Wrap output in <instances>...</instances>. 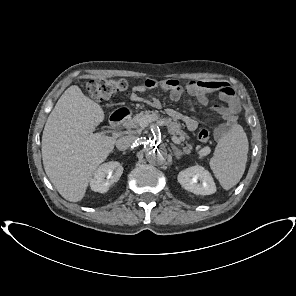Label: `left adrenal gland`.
Segmentation results:
<instances>
[{
	"label": "left adrenal gland",
	"instance_id": "left-adrenal-gland-1",
	"mask_svg": "<svg viewBox=\"0 0 296 296\" xmlns=\"http://www.w3.org/2000/svg\"><path fill=\"white\" fill-rule=\"evenodd\" d=\"M171 148L174 151V154L176 156L177 159H180L182 155L185 154V152H183L182 150H180L176 145H174L173 143H171Z\"/></svg>",
	"mask_w": 296,
	"mask_h": 296
}]
</instances>
